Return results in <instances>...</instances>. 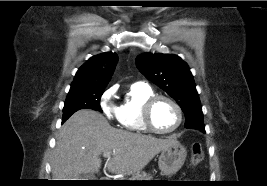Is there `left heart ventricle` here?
I'll return each mask as SVG.
<instances>
[{"label":"left heart ventricle","mask_w":267,"mask_h":186,"mask_svg":"<svg viewBox=\"0 0 267 186\" xmlns=\"http://www.w3.org/2000/svg\"><path fill=\"white\" fill-rule=\"evenodd\" d=\"M177 111L172 104L165 100L158 101L152 111V121L156 128L169 130L177 122Z\"/></svg>","instance_id":"obj_1"}]
</instances>
